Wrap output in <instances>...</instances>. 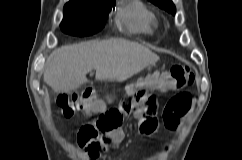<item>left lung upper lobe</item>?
Listing matches in <instances>:
<instances>
[{"mask_svg":"<svg viewBox=\"0 0 242 160\" xmlns=\"http://www.w3.org/2000/svg\"><path fill=\"white\" fill-rule=\"evenodd\" d=\"M155 5L159 6L160 8L168 11L169 13H172L175 15L176 8L171 0H149Z\"/></svg>","mask_w":242,"mask_h":160,"instance_id":"obj_1","label":"left lung upper lobe"}]
</instances>
